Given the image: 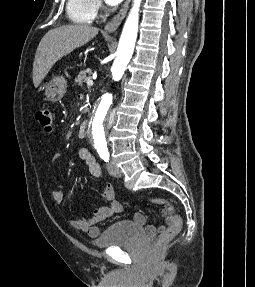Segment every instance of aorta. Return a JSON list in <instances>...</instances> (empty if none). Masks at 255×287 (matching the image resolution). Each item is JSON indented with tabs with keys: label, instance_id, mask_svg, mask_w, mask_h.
Returning <instances> with one entry per match:
<instances>
[{
	"label": "aorta",
	"instance_id": "aorta-1",
	"mask_svg": "<svg viewBox=\"0 0 255 287\" xmlns=\"http://www.w3.org/2000/svg\"><path fill=\"white\" fill-rule=\"evenodd\" d=\"M141 0H134L133 7L123 27L119 40L116 59L111 68L114 80H120L129 63L138 32L139 7ZM112 105V94L106 93L94 108L88 125L87 135L96 147L105 146L108 129L109 111Z\"/></svg>",
	"mask_w": 255,
	"mask_h": 287
}]
</instances>
